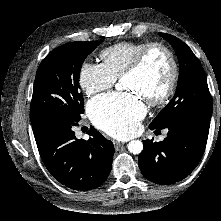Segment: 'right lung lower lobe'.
I'll return each mask as SVG.
<instances>
[{
  "label": "right lung lower lobe",
  "mask_w": 221,
  "mask_h": 221,
  "mask_svg": "<svg viewBox=\"0 0 221 221\" xmlns=\"http://www.w3.org/2000/svg\"><path fill=\"white\" fill-rule=\"evenodd\" d=\"M77 122L50 116L32 128L42 161L56 180L74 190L94 189L107 179L115 149L93 127L89 140L77 139L73 131Z\"/></svg>",
  "instance_id": "98d812e1"
}]
</instances>
